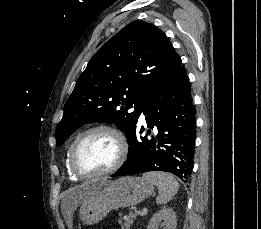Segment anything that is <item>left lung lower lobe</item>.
<instances>
[{
  "instance_id": "obj_1",
  "label": "left lung lower lobe",
  "mask_w": 261,
  "mask_h": 229,
  "mask_svg": "<svg viewBox=\"0 0 261 229\" xmlns=\"http://www.w3.org/2000/svg\"><path fill=\"white\" fill-rule=\"evenodd\" d=\"M141 112L154 135L136 128L128 140V159L112 177L147 171L170 172L190 178L195 146V106L182 64L159 82L145 99Z\"/></svg>"
}]
</instances>
